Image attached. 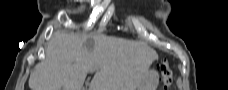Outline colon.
Instances as JSON below:
<instances>
[{"mask_svg": "<svg viewBox=\"0 0 228 90\" xmlns=\"http://www.w3.org/2000/svg\"><path fill=\"white\" fill-rule=\"evenodd\" d=\"M159 70L163 82V89L169 90L173 83V74L172 70L170 69L169 63L167 61H163L160 64Z\"/></svg>", "mask_w": 228, "mask_h": 90, "instance_id": "5ec220e1", "label": "colon"}]
</instances>
